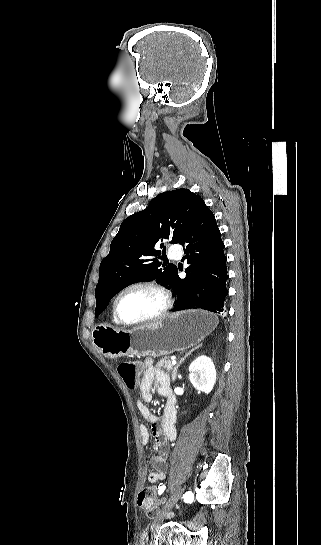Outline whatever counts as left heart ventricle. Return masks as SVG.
Segmentation results:
<instances>
[{"instance_id":"left-heart-ventricle-1","label":"left heart ventricle","mask_w":321,"mask_h":545,"mask_svg":"<svg viewBox=\"0 0 321 545\" xmlns=\"http://www.w3.org/2000/svg\"><path fill=\"white\" fill-rule=\"evenodd\" d=\"M163 306L162 297L149 289H134L119 300V313L127 322H137L155 315Z\"/></svg>"}]
</instances>
